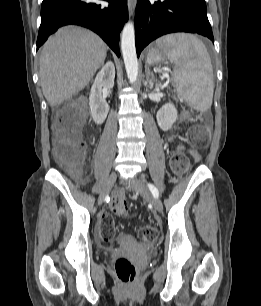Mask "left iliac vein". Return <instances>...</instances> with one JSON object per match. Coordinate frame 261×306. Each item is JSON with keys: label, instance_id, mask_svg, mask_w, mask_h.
Segmentation results:
<instances>
[{"label": "left iliac vein", "instance_id": "4c4485c4", "mask_svg": "<svg viewBox=\"0 0 261 306\" xmlns=\"http://www.w3.org/2000/svg\"><path fill=\"white\" fill-rule=\"evenodd\" d=\"M132 189L137 192L143 199L149 201L157 212L161 213L163 211L162 201L151 194L143 180L135 178L133 180Z\"/></svg>", "mask_w": 261, "mask_h": 306}]
</instances>
